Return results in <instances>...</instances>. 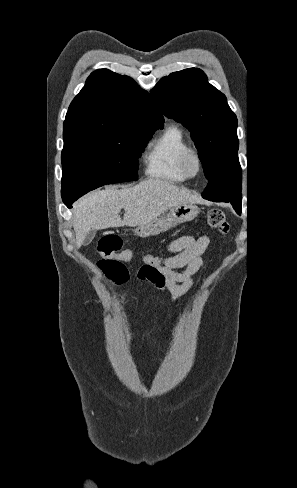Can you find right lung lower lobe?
Returning a JSON list of instances; mask_svg holds the SVG:
<instances>
[{"label":"right lung lower lobe","instance_id":"98d812e1","mask_svg":"<svg viewBox=\"0 0 297 488\" xmlns=\"http://www.w3.org/2000/svg\"><path fill=\"white\" fill-rule=\"evenodd\" d=\"M65 205H66L68 208H71V207H72V205H70V204H65Z\"/></svg>","mask_w":297,"mask_h":488}]
</instances>
